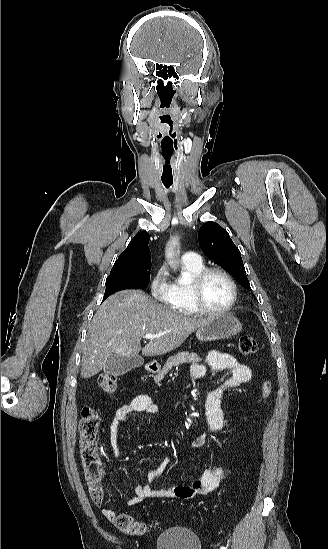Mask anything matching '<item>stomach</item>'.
<instances>
[{"label": "stomach", "instance_id": "1", "mask_svg": "<svg viewBox=\"0 0 328 549\" xmlns=\"http://www.w3.org/2000/svg\"><path fill=\"white\" fill-rule=\"evenodd\" d=\"M242 331V325L234 315L230 313H219V315H211L208 317L204 327H200L196 331L198 341H217V339H229ZM152 373L159 371L157 361H152L148 365Z\"/></svg>", "mask_w": 328, "mask_h": 549}]
</instances>
